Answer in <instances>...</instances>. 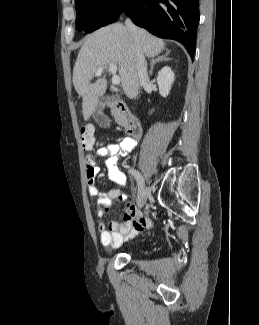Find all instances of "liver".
<instances>
[{
    "label": "liver",
    "instance_id": "liver-1",
    "mask_svg": "<svg viewBox=\"0 0 259 325\" xmlns=\"http://www.w3.org/2000/svg\"><path fill=\"white\" fill-rule=\"evenodd\" d=\"M138 44L144 55L153 58L160 54L165 43L144 29L137 28ZM135 42L130 30L121 23L102 27L87 36L75 62L73 84L82 97V112L87 121L99 104V98L105 93V77L90 83L95 71L107 67L109 63L118 65L120 81L125 95L134 99L139 93V80L134 63Z\"/></svg>",
    "mask_w": 259,
    "mask_h": 325
}]
</instances>
